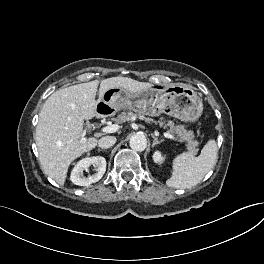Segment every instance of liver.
Wrapping results in <instances>:
<instances>
[{"mask_svg":"<svg viewBox=\"0 0 264 264\" xmlns=\"http://www.w3.org/2000/svg\"><path fill=\"white\" fill-rule=\"evenodd\" d=\"M99 81L73 85L48 97L39 114L36 145L39 161L46 175L63 185L69 165L83 153L97 146L94 137L85 138L84 120L94 118L96 105L104 92L120 87L137 94L152 85L127 77H112L100 82L99 99L95 100Z\"/></svg>","mask_w":264,"mask_h":264,"instance_id":"1","label":"liver"}]
</instances>
